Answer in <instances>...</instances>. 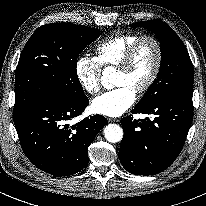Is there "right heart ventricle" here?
Here are the masks:
<instances>
[{
	"mask_svg": "<svg viewBox=\"0 0 206 206\" xmlns=\"http://www.w3.org/2000/svg\"><path fill=\"white\" fill-rule=\"evenodd\" d=\"M140 37L137 33L116 34L101 42L96 48V58L102 68H117L130 46Z\"/></svg>",
	"mask_w": 206,
	"mask_h": 206,
	"instance_id": "right-heart-ventricle-1",
	"label": "right heart ventricle"
}]
</instances>
